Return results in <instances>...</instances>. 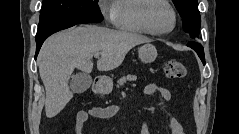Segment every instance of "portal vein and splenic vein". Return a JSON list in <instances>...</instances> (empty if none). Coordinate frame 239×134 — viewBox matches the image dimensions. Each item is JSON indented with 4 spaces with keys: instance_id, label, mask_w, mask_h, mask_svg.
Returning <instances> with one entry per match:
<instances>
[{
    "instance_id": "portal-vein-and-splenic-vein-1",
    "label": "portal vein and splenic vein",
    "mask_w": 239,
    "mask_h": 134,
    "mask_svg": "<svg viewBox=\"0 0 239 134\" xmlns=\"http://www.w3.org/2000/svg\"><path fill=\"white\" fill-rule=\"evenodd\" d=\"M100 55H101L100 52H96V53H94V57H95V58H99Z\"/></svg>"
}]
</instances>
